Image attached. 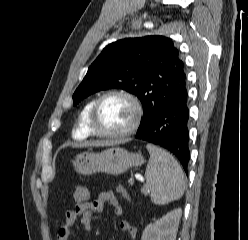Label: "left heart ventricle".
<instances>
[{"label": "left heart ventricle", "instance_id": "b2bd125f", "mask_svg": "<svg viewBox=\"0 0 248 240\" xmlns=\"http://www.w3.org/2000/svg\"><path fill=\"white\" fill-rule=\"evenodd\" d=\"M133 115V108L126 99L109 97L99 107L97 127L106 133L119 132L131 124Z\"/></svg>", "mask_w": 248, "mask_h": 240}]
</instances>
